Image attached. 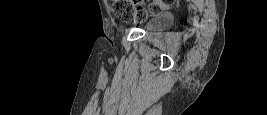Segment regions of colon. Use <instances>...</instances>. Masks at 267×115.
<instances>
[{
    "label": "colon",
    "instance_id": "5ec220e1",
    "mask_svg": "<svg viewBox=\"0 0 267 115\" xmlns=\"http://www.w3.org/2000/svg\"><path fill=\"white\" fill-rule=\"evenodd\" d=\"M114 14L123 22H141L149 16L162 12L161 5L153 4L147 8L135 6L128 0H114L112 5Z\"/></svg>",
    "mask_w": 267,
    "mask_h": 115
}]
</instances>
